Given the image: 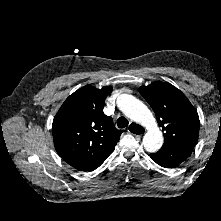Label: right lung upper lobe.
Listing matches in <instances>:
<instances>
[{
  "instance_id": "obj_1",
  "label": "right lung upper lobe",
  "mask_w": 221,
  "mask_h": 221,
  "mask_svg": "<svg viewBox=\"0 0 221 221\" xmlns=\"http://www.w3.org/2000/svg\"><path fill=\"white\" fill-rule=\"evenodd\" d=\"M111 89L86 85L70 95L55 115V149L74 168L104 161L124 132L103 113L104 99Z\"/></svg>"
}]
</instances>
